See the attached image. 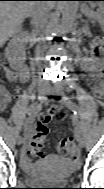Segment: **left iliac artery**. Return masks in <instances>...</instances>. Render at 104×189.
I'll return each instance as SVG.
<instances>
[{"label": "left iliac artery", "mask_w": 104, "mask_h": 189, "mask_svg": "<svg viewBox=\"0 0 104 189\" xmlns=\"http://www.w3.org/2000/svg\"><path fill=\"white\" fill-rule=\"evenodd\" d=\"M56 95L57 96H62V100L65 103H67V105L72 109V111L74 113V118L77 120V117H78V107L75 104H72L71 102L68 101V98L63 95L62 89H58L57 92H56ZM77 127H80L79 123H77V125H73V128H75V131L77 130Z\"/></svg>", "instance_id": "left-iliac-artery-1"}]
</instances>
